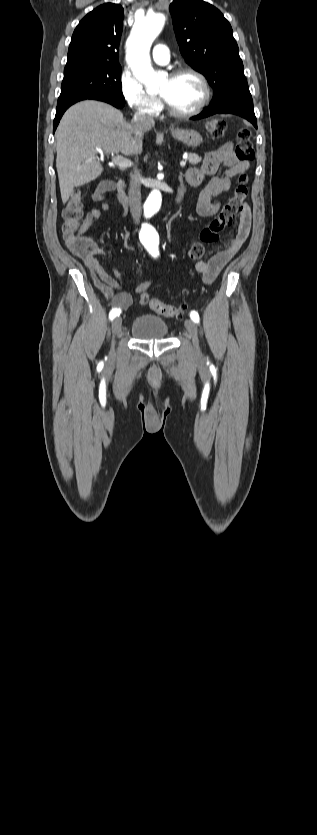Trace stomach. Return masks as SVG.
Returning a JSON list of instances; mask_svg holds the SVG:
<instances>
[{"label": "stomach", "instance_id": "0dacf381", "mask_svg": "<svg viewBox=\"0 0 317 835\" xmlns=\"http://www.w3.org/2000/svg\"><path fill=\"white\" fill-rule=\"evenodd\" d=\"M171 134L176 140L193 148L199 146L203 142L202 136L195 130L177 127L175 129H171Z\"/></svg>", "mask_w": 317, "mask_h": 835}]
</instances>
